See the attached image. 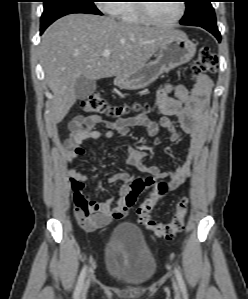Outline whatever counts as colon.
<instances>
[{
    "mask_svg": "<svg viewBox=\"0 0 248 299\" xmlns=\"http://www.w3.org/2000/svg\"><path fill=\"white\" fill-rule=\"evenodd\" d=\"M218 69L217 56L209 49L202 48L197 54L193 64L192 72L194 75L215 73ZM83 110L91 114H105L120 117L129 112L128 106L110 105L99 93H91L83 102ZM136 110L148 111V106L136 105ZM77 188L82 185L77 183ZM155 186L152 196L146 199L138 208L137 215L141 224L147 229L152 230L156 235L167 239H172L180 233L185 226V219L188 214L189 201L187 198L181 199L177 205L175 213L168 223H160L152 219L151 212L160 199L165 197L170 191L169 184L165 181L156 182L153 175L146 178L137 177L132 180L128 190L123 194V202L127 208L133 207L137 201L138 194L146 187ZM73 212L75 215L88 217L95 210L90 204L89 198L81 190L73 191Z\"/></svg>",
    "mask_w": 248,
    "mask_h": 299,
    "instance_id": "colon-1",
    "label": "colon"
}]
</instances>
